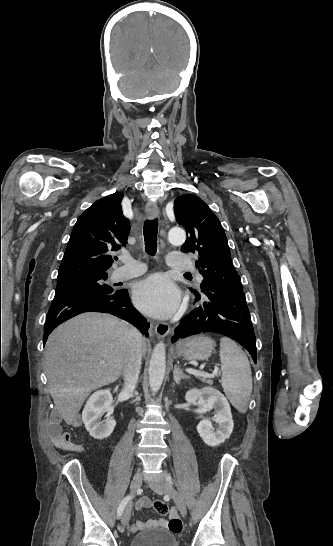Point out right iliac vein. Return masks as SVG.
Returning <instances> with one entry per match:
<instances>
[{"mask_svg":"<svg viewBox=\"0 0 333 546\" xmlns=\"http://www.w3.org/2000/svg\"><path fill=\"white\" fill-rule=\"evenodd\" d=\"M142 479L143 478H142L141 473H137L133 477V479L131 481V485H130L131 494H134L136 491H138L140 489V487L142 485ZM130 515H131V504L129 503L127 505V507L125 508V510L123 512V515H122V519H121L123 529L129 523Z\"/></svg>","mask_w":333,"mask_h":546,"instance_id":"1","label":"right iliac vein"}]
</instances>
